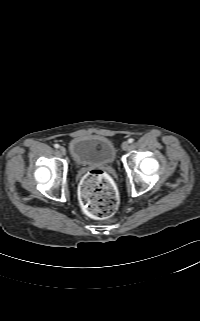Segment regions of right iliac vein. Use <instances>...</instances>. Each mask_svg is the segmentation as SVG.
<instances>
[{
  "label": "right iliac vein",
  "mask_w": 200,
  "mask_h": 321,
  "mask_svg": "<svg viewBox=\"0 0 200 321\" xmlns=\"http://www.w3.org/2000/svg\"><path fill=\"white\" fill-rule=\"evenodd\" d=\"M59 152L62 154V155H65L66 154V150L64 147H60L59 148Z\"/></svg>",
  "instance_id": "1"
}]
</instances>
